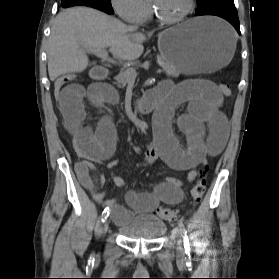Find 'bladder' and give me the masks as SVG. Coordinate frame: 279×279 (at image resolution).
<instances>
[{
    "label": "bladder",
    "mask_w": 279,
    "mask_h": 279,
    "mask_svg": "<svg viewBox=\"0 0 279 279\" xmlns=\"http://www.w3.org/2000/svg\"><path fill=\"white\" fill-rule=\"evenodd\" d=\"M166 230V223L153 215L133 217L128 224L118 226V231L124 238L144 241L157 240Z\"/></svg>",
    "instance_id": "1"
}]
</instances>
